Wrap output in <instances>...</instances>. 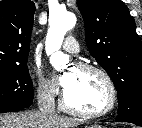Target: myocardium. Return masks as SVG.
<instances>
[{
    "mask_svg": "<svg viewBox=\"0 0 142 128\" xmlns=\"http://www.w3.org/2000/svg\"><path fill=\"white\" fill-rule=\"evenodd\" d=\"M75 68H77L81 71L95 72L103 77V79L105 80V82L108 85L109 92H110L109 103L103 110H100V111H95V112L83 111V110H80V109L70 106L66 102L65 91H64L61 98H60V102H59L60 107L68 113H71L73 115H77L80 117H84V118L103 117V116L109 114L110 112H112L117 104L118 94H117V89H116L115 83H114L113 79L111 78V76L109 75V73L105 69H103L102 67L94 65V64H89V63H78V64H76Z\"/></svg>",
    "mask_w": 142,
    "mask_h": 128,
    "instance_id": "obj_1",
    "label": "myocardium"
}]
</instances>
